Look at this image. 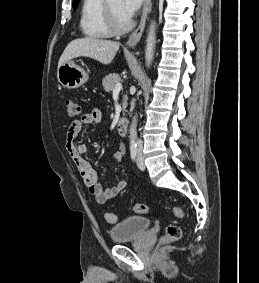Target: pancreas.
Instances as JSON below:
<instances>
[{
    "label": "pancreas",
    "mask_w": 259,
    "mask_h": 283,
    "mask_svg": "<svg viewBox=\"0 0 259 283\" xmlns=\"http://www.w3.org/2000/svg\"><path fill=\"white\" fill-rule=\"evenodd\" d=\"M121 78L118 74L113 73L105 76L102 80L103 88L106 92H111L114 90V87L117 83H120ZM123 110L127 107V95L123 96V104H122Z\"/></svg>",
    "instance_id": "pancreas-1"
}]
</instances>
